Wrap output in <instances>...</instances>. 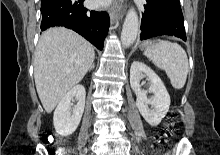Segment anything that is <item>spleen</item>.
<instances>
[{
	"label": "spleen",
	"mask_w": 220,
	"mask_h": 155,
	"mask_svg": "<svg viewBox=\"0 0 220 155\" xmlns=\"http://www.w3.org/2000/svg\"><path fill=\"white\" fill-rule=\"evenodd\" d=\"M144 54L166 72L173 88L180 90L184 87L189 65L187 54L178 43L162 40L148 45Z\"/></svg>",
	"instance_id": "1"
}]
</instances>
